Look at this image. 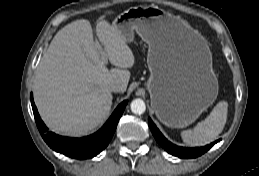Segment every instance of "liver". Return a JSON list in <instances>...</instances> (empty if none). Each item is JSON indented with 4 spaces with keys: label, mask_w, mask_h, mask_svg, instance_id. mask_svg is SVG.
Masks as SVG:
<instances>
[{
    "label": "liver",
    "mask_w": 259,
    "mask_h": 176,
    "mask_svg": "<svg viewBox=\"0 0 259 176\" xmlns=\"http://www.w3.org/2000/svg\"><path fill=\"white\" fill-rule=\"evenodd\" d=\"M113 12H106L111 14ZM93 31L101 42L95 44ZM110 62L116 68L109 70ZM134 55L121 34L106 20L93 29L86 19L57 32L37 67L33 85L35 104L54 132L82 136L108 116L112 83L125 92Z\"/></svg>",
    "instance_id": "6515ba94"
}]
</instances>
